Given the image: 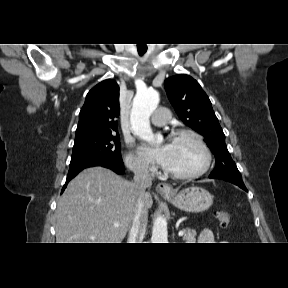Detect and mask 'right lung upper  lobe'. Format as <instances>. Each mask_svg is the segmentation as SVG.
I'll use <instances>...</instances> for the list:
<instances>
[{"mask_svg": "<svg viewBox=\"0 0 288 288\" xmlns=\"http://www.w3.org/2000/svg\"><path fill=\"white\" fill-rule=\"evenodd\" d=\"M119 86L107 79L87 94L79 114L75 142L107 134H115L119 116Z\"/></svg>", "mask_w": 288, "mask_h": 288, "instance_id": "obj_1", "label": "right lung upper lobe"}]
</instances>
